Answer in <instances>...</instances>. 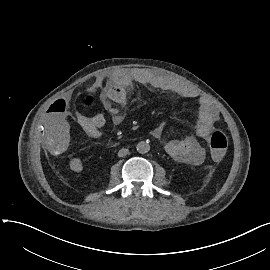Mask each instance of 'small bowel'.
<instances>
[{"mask_svg": "<svg viewBox=\"0 0 270 270\" xmlns=\"http://www.w3.org/2000/svg\"><path fill=\"white\" fill-rule=\"evenodd\" d=\"M133 83L177 93L188 99L198 97L197 92L187 85L148 68H129L99 77L92 84L90 91L98 93L104 85L107 86L105 92L101 94V101L109 112L114 126H119L123 122V110L128 102V88ZM72 109L73 100L66 94H56L45 106L46 125L50 138L46 153L52 159H59L65 153V146L69 143L66 114ZM216 121L217 114L210 102L206 98H200L195 135L168 141L165 146L166 151L172 157L190 165H201L205 160V150L198 139L206 138L213 130ZM77 122L84 133L90 137L100 138L105 134L107 122L100 112H93L88 116L79 115ZM164 130V124L158 125L152 132L153 137L162 138Z\"/></svg>", "mask_w": 270, "mask_h": 270, "instance_id": "obj_1", "label": "small bowel"}]
</instances>
